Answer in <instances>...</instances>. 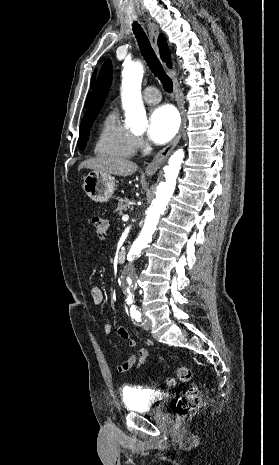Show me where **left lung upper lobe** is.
<instances>
[{
  "label": "left lung upper lobe",
  "mask_w": 279,
  "mask_h": 465,
  "mask_svg": "<svg viewBox=\"0 0 279 465\" xmlns=\"http://www.w3.org/2000/svg\"><path fill=\"white\" fill-rule=\"evenodd\" d=\"M94 80H95V75H93L92 82H91V87H93Z\"/></svg>",
  "instance_id": "obj_1"
}]
</instances>
